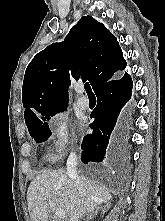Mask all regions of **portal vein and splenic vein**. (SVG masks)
Masks as SVG:
<instances>
[{"instance_id": "18ae733b", "label": "portal vein and splenic vein", "mask_w": 165, "mask_h": 221, "mask_svg": "<svg viewBox=\"0 0 165 221\" xmlns=\"http://www.w3.org/2000/svg\"><path fill=\"white\" fill-rule=\"evenodd\" d=\"M49 206L54 210V214L57 218H60V219L66 218V213L64 212V210L61 208H58L54 202L50 201Z\"/></svg>"}]
</instances>
